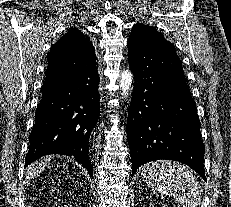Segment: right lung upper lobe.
<instances>
[{"label": "right lung upper lobe", "instance_id": "cb5924a9", "mask_svg": "<svg viewBox=\"0 0 231 207\" xmlns=\"http://www.w3.org/2000/svg\"><path fill=\"white\" fill-rule=\"evenodd\" d=\"M95 55L89 38L80 30H70L61 37L48 53V67L58 70H72L86 64Z\"/></svg>", "mask_w": 231, "mask_h": 207}]
</instances>
